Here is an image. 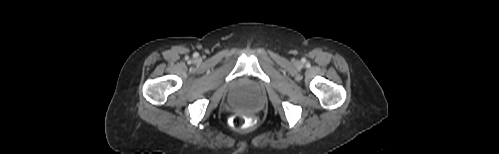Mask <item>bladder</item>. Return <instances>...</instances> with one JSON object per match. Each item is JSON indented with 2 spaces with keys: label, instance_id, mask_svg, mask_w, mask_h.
<instances>
[{
  "label": "bladder",
  "instance_id": "1",
  "mask_svg": "<svg viewBox=\"0 0 499 154\" xmlns=\"http://www.w3.org/2000/svg\"><path fill=\"white\" fill-rule=\"evenodd\" d=\"M235 105L240 108V109H244V110H249V109H252L253 108V104L252 102H250L248 99L246 98H237L235 100Z\"/></svg>",
  "mask_w": 499,
  "mask_h": 154
}]
</instances>
